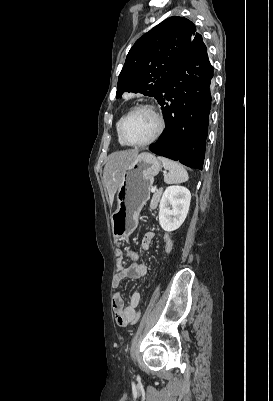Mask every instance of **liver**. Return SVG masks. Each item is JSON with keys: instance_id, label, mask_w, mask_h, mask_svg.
<instances>
[{"instance_id": "obj_1", "label": "liver", "mask_w": 273, "mask_h": 401, "mask_svg": "<svg viewBox=\"0 0 273 401\" xmlns=\"http://www.w3.org/2000/svg\"><path fill=\"white\" fill-rule=\"evenodd\" d=\"M139 156L137 148H130V150H119V152H112L107 158V162L103 170V180L109 194V203L112 207L114 201V194L119 188L123 180V170L127 168L130 162H134Z\"/></svg>"}]
</instances>
